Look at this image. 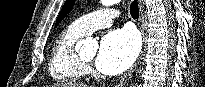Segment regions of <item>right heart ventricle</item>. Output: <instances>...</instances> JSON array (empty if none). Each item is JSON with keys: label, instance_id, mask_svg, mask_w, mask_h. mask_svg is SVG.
Returning a JSON list of instances; mask_svg holds the SVG:
<instances>
[{"label": "right heart ventricle", "instance_id": "1", "mask_svg": "<svg viewBox=\"0 0 205 87\" xmlns=\"http://www.w3.org/2000/svg\"><path fill=\"white\" fill-rule=\"evenodd\" d=\"M84 36L71 25L55 40L49 61V74L57 83L73 84L83 78L85 68L78 60L75 43Z\"/></svg>", "mask_w": 205, "mask_h": 87}]
</instances>
